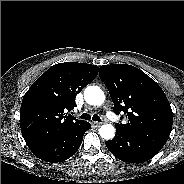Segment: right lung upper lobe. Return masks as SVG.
Instances as JSON below:
<instances>
[{
  "mask_svg": "<svg viewBox=\"0 0 184 184\" xmlns=\"http://www.w3.org/2000/svg\"><path fill=\"white\" fill-rule=\"evenodd\" d=\"M98 70V66L87 63H59L31 85L20 108V128L27 146L68 135L88 123L67 112L76 106V95Z\"/></svg>",
  "mask_w": 184,
  "mask_h": 184,
  "instance_id": "cb5924a9",
  "label": "right lung upper lobe"
}]
</instances>
